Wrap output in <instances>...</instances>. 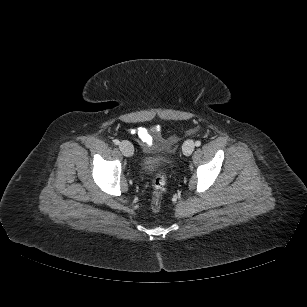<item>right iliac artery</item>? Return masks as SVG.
I'll return each instance as SVG.
<instances>
[{"instance_id":"1","label":"right iliac artery","mask_w":307,"mask_h":307,"mask_svg":"<svg viewBox=\"0 0 307 307\" xmlns=\"http://www.w3.org/2000/svg\"><path fill=\"white\" fill-rule=\"evenodd\" d=\"M113 142H114L115 145H119L120 144V141L118 139H115Z\"/></svg>"}]
</instances>
